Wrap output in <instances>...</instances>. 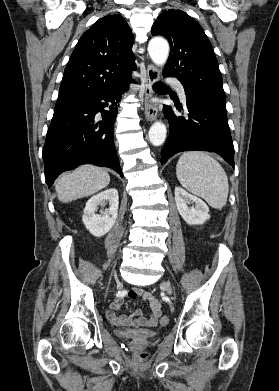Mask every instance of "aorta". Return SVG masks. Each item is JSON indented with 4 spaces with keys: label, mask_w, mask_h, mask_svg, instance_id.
Returning <instances> with one entry per match:
<instances>
[{
    "label": "aorta",
    "mask_w": 279,
    "mask_h": 391,
    "mask_svg": "<svg viewBox=\"0 0 279 391\" xmlns=\"http://www.w3.org/2000/svg\"><path fill=\"white\" fill-rule=\"evenodd\" d=\"M148 53L152 61L158 65L163 66L169 55L168 42L160 37H156L150 40L148 44ZM167 129L162 122H155L149 130V141L154 146H160L166 139Z\"/></svg>",
    "instance_id": "obj_1"
}]
</instances>
